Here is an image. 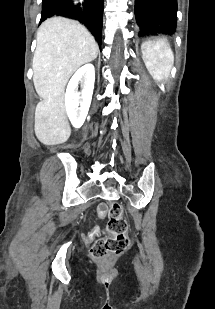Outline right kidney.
Listing matches in <instances>:
<instances>
[{"label":"right kidney","mask_w":215,"mask_h":309,"mask_svg":"<svg viewBox=\"0 0 215 309\" xmlns=\"http://www.w3.org/2000/svg\"><path fill=\"white\" fill-rule=\"evenodd\" d=\"M82 76L86 78V80H84V88H82L81 92H77L76 88ZM94 82L95 68L90 62L78 68L77 72H75L69 80L65 94V106L67 114L75 128H80V126H82L88 114ZM79 98H83V100H79Z\"/></svg>","instance_id":"1"}]
</instances>
